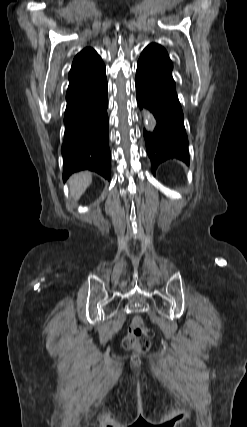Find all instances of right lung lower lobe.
<instances>
[{"label":"right lung lower lobe","mask_w":247,"mask_h":427,"mask_svg":"<svg viewBox=\"0 0 247 427\" xmlns=\"http://www.w3.org/2000/svg\"><path fill=\"white\" fill-rule=\"evenodd\" d=\"M107 79L105 67L93 76L69 85L62 145L63 179L91 170L110 180Z\"/></svg>","instance_id":"obj_1"}]
</instances>
